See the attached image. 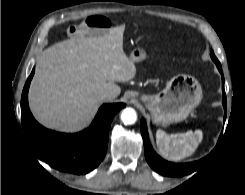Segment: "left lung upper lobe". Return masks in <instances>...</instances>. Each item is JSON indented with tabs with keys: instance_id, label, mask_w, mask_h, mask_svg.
<instances>
[{
	"instance_id": "left-lung-upper-lobe-1",
	"label": "left lung upper lobe",
	"mask_w": 245,
	"mask_h": 195,
	"mask_svg": "<svg viewBox=\"0 0 245 195\" xmlns=\"http://www.w3.org/2000/svg\"><path fill=\"white\" fill-rule=\"evenodd\" d=\"M211 58L213 59V61L217 64V63H220L217 58L215 57L213 51L211 52Z\"/></svg>"
}]
</instances>
